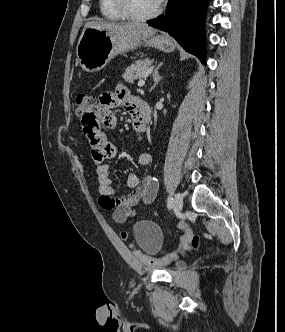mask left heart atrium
I'll return each instance as SVG.
<instances>
[{
    "instance_id": "1",
    "label": "left heart atrium",
    "mask_w": 285,
    "mask_h": 332,
    "mask_svg": "<svg viewBox=\"0 0 285 332\" xmlns=\"http://www.w3.org/2000/svg\"><path fill=\"white\" fill-rule=\"evenodd\" d=\"M156 1L160 5L164 0H156Z\"/></svg>"
}]
</instances>
